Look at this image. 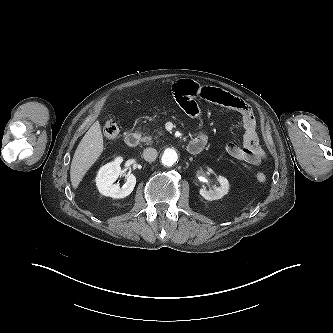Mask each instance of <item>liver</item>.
<instances>
[{
  "instance_id": "obj_1",
  "label": "liver",
  "mask_w": 333,
  "mask_h": 333,
  "mask_svg": "<svg viewBox=\"0 0 333 333\" xmlns=\"http://www.w3.org/2000/svg\"><path fill=\"white\" fill-rule=\"evenodd\" d=\"M103 135L99 121L86 132L79 143L70 168V180L74 189L78 187L84 175L103 152Z\"/></svg>"
}]
</instances>
